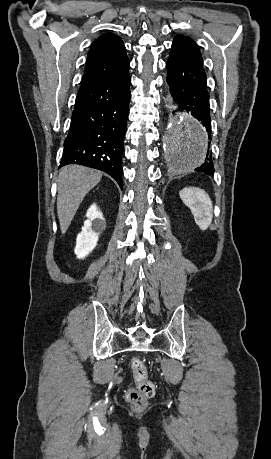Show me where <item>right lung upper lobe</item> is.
<instances>
[{"label":"right lung upper lobe","instance_id":"obj_1","mask_svg":"<svg viewBox=\"0 0 271 459\" xmlns=\"http://www.w3.org/2000/svg\"><path fill=\"white\" fill-rule=\"evenodd\" d=\"M130 62L123 41L115 34H104L89 50L80 91L127 73Z\"/></svg>","mask_w":271,"mask_h":459}]
</instances>
